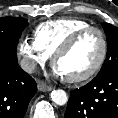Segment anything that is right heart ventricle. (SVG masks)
<instances>
[{"label": "right heart ventricle", "instance_id": "obj_1", "mask_svg": "<svg viewBox=\"0 0 118 118\" xmlns=\"http://www.w3.org/2000/svg\"><path fill=\"white\" fill-rule=\"evenodd\" d=\"M89 26L87 21L73 17L50 20L36 27L34 40L48 56H52L72 34Z\"/></svg>", "mask_w": 118, "mask_h": 118}]
</instances>
